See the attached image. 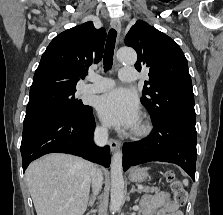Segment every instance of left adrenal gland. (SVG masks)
Listing matches in <instances>:
<instances>
[{
    "label": "left adrenal gland",
    "mask_w": 223,
    "mask_h": 215,
    "mask_svg": "<svg viewBox=\"0 0 223 215\" xmlns=\"http://www.w3.org/2000/svg\"><path fill=\"white\" fill-rule=\"evenodd\" d=\"M133 191H138V193H141V189H136L135 185H132L131 189H130V193H133ZM139 197H137V199H135V203L136 201H138Z\"/></svg>",
    "instance_id": "a2214340"
}]
</instances>
